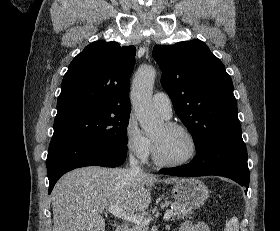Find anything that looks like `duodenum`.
<instances>
[{
    "label": "duodenum",
    "instance_id": "duodenum-1",
    "mask_svg": "<svg viewBox=\"0 0 280 231\" xmlns=\"http://www.w3.org/2000/svg\"><path fill=\"white\" fill-rule=\"evenodd\" d=\"M115 231H128V228L124 224H120L116 227Z\"/></svg>",
    "mask_w": 280,
    "mask_h": 231
}]
</instances>
